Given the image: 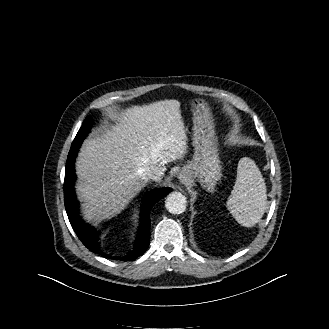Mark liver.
<instances>
[{
    "label": "liver",
    "instance_id": "obj_1",
    "mask_svg": "<svg viewBox=\"0 0 329 329\" xmlns=\"http://www.w3.org/2000/svg\"><path fill=\"white\" fill-rule=\"evenodd\" d=\"M116 125L84 141L76 162L77 193L88 220L123 210L146 185L140 173L184 158L187 135L178 100L132 106L114 114Z\"/></svg>",
    "mask_w": 329,
    "mask_h": 329
}]
</instances>
